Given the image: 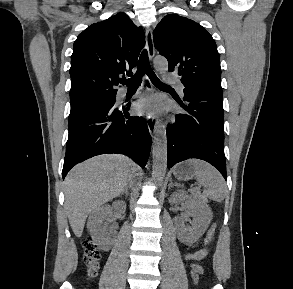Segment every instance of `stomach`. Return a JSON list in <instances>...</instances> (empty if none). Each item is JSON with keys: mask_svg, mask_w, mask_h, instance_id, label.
Masks as SVG:
<instances>
[{"mask_svg": "<svg viewBox=\"0 0 293 289\" xmlns=\"http://www.w3.org/2000/svg\"><path fill=\"white\" fill-rule=\"evenodd\" d=\"M173 174L179 180H189L195 176L194 168L190 160L176 165V167L174 168Z\"/></svg>", "mask_w": 293, "mask_h": 289, "instance_id": "stomach-1", "label": "stomach"}]
</instances>
